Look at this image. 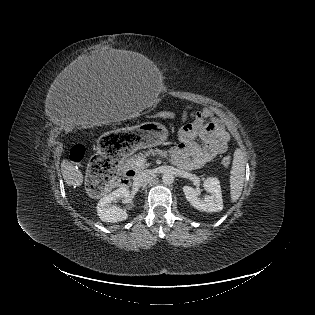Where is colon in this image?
Masks as SVG:
<instances>
[{
    "instance_id": "colon-1",
    "label": "colon",
    "mask_w": 315,
    "mask_h": 315,
    "mask_svg": "<svg viewBox=\"0 0 315 315\" xmlns=\"http://www.w3.org/2000/svg\"><path fill=\"white\" fill-rule=\"evenodd\" d=\"M161 118H172L173 113L163 112L159 115ZM85 154V148L82 145H76L72 148L70 158L73 162H80ZM223 166L227 167L231 163L230 156H224L221 160ZM117 177V160L99 153L95 155L89 164L87 173V188L93 195H101L110 188Z\"/></svg>"
}]
</instances>
